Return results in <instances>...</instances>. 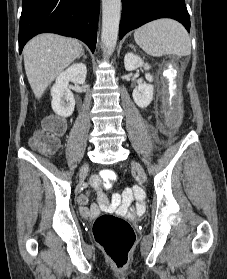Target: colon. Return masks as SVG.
<instances>
[{
    "mask_svg": "<svg viewBox=\"0 0 227 279\" xmlns=\"http://www.w3.org/2000/svg\"><path fill=\"white\" fill-rule=\"evenodd\" d=\"M43 126L44 128L31 138V145L43 154H52L59 149L58 135L65 130V122L51 116L43 121ZM117 180L118 177L112 170L102 172L99 178L100 183L107 186H111ZM93 235L116 265L127 264L135 240L134 230L127 220L111 213L100 214L94 222Z\"/></svg>",
    "mask_w": 227,
    "mask_h": 279,
    "instance_id": "colon-1",
    "label": "colon"
}]
</instances>
